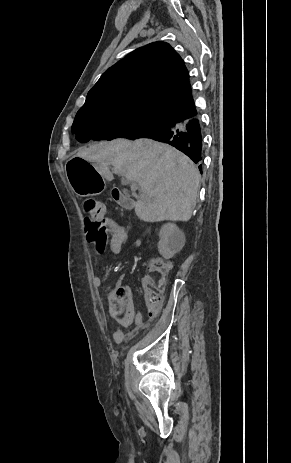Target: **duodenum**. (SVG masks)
<instances>
[{"instance_id":"410a0bca","label":"duodenum","mask_w":291,"mask_h":463,"mask_svg":"<svg viewBox=\"0 0 291 463\" xmlns=\"http://www.w3.org/2000/svg\"><path fill=\"white\" fill-rule=\"evenodd\" d=\"M112 198L122 207L130 209L132 207V199L121 189L115 188L111 192Z\"/></svg>"}]
</instances>
